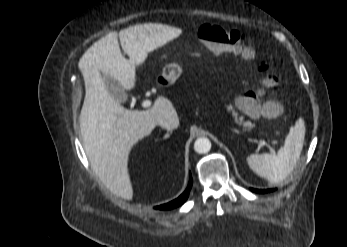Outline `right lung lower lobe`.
Instances as JSON below:
<instances>
[{"label": "right lung lower lobe", "instance_id": "obj_1", "mask_svg": "<svg viewBox=\"0 0 347 247\" xmlns=\"http://www.w3.org/2000/svg\"><path fill=\"white\" fill-rule=\"evenodd\" d=\"M191 187H192V177L190 175L189 185L183 194H181L177 199H175V200H173L167 204H163V205H160L158 207H155V208L160 209V210H167V209H172V208H175V207L181 205L188 198Z\"/></svg>", "mask_w": 347, "mask_h": 247}]
</instances>
